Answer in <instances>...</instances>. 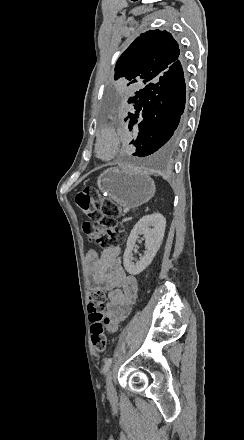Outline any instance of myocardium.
<instances>
[{"label":"myocardium","instance_id":"obj_1","mask_svg":"<svg viewBox=\"0 0 244 440\" xmlns=\"http://www.w3.org/2000/svg\"><path fill=\"white\" fill-rule=\"evenodd\" d=\"M114 135L110 130H102L95 137V154L103 162L113 157Z\"/></svg>","mask_w":244,"mask_h":440}]
</instances>
